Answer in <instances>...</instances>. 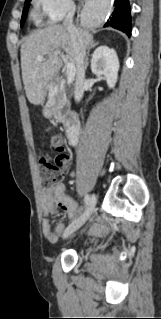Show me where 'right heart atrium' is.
I'll return each instance as SVG.
<instances>
[{
    "instance_id": "1",
    "label": "right heart atrium",
    "mask_w": 161,
    "mask_h": 319,
    "mask_svg": "<svg viewBox=\"0 0 161 319\" xmlns=\"http://www.w3.org/2000/svg\"><path fill=\"white\" fill-rule=\"evenodd\" d=\"M35 2L51 24L59 23L75 8L73 0H35Z\"/></svg>"
}]
</instances>
